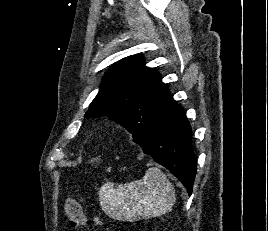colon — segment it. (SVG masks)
Returning <instances> with one entry per match:
<instances>
[{"label":"colon","instance_id":"obj_1","mask_svg":"<svg viewBox=\"0 0 268 231\" xmlns=\"http://www.w3.org/2000/svg\"><path fill=\"white\" fill-rule=\"evenodd\" d=\"M64 210L71 227L79 228L85 224L86 218L82 206L77 200L67 198L65 200Z\"/></svg>","mask_w":268,"mask_h":231}]
</instances>
